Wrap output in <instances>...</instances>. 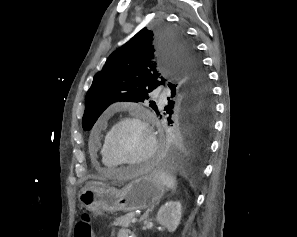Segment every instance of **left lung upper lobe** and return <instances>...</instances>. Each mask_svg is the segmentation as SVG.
Masks as SVG:
<instances>
[{
    "label": "left lung upper lobe",
    "mask_w": 297,
    "mask_h": 237,
    "mask_svg": "<svg viewBox=\"0 0 297 237\" xmlns=\"http://www.w3.org/2000/svg\"><path fill=\"white\" fill-rule=\"evenodd\" d=\"M159 85L167 86L177 104L202 106L211 101V90L196 50L176 28L159 25L143 28L114 51L98 72L85 98L82 119L90 130L100 114L116 101L144 102ZM159 115L154 101H149Z\"/></svg>",
    "instance_id": "obj_1"
}]
</instances>
